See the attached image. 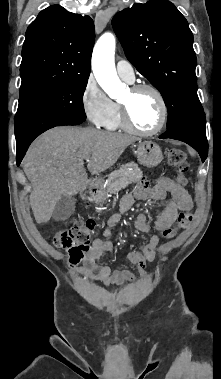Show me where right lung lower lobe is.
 Listing matches in <instances>:
<instances>
[{
	"mask_svg": "<svg viewBox=\"0 0 221 379\" xmlns=\"http://www.w3.org/2000/svg\"><path fill=\"white\" fill-rule=\"evenodd\" d=\"M65 125H77L76 122H66ZM34 140V139H33ZM33 140H29L27 142L17 143V165L20 164L22 158L24 157L29 145Z\"/></svg>",
	"mask_w": 221,
	"mask_h": 379,
	"instance_id": "1",
	"label": "right lung lower lobe"
}]
</instances>
